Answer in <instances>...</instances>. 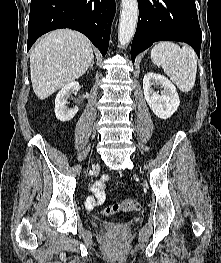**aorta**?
<instances>
[{"label": "aorta", "instance_id": "aorta-1", "mask_svg": "<svg viewBox=\"0 0 221 263\" xmlns=\"http://www.w3.org/2000/svg\"><path fill=\"white\" fill-rule=\"evenodd\" d=\"M121 3L118 41L121 46H125L131 41L136 30L138 3L137 0H121Z\"/></svg>", "mask_w": 221, "mask_h": 263}]
</instances>
